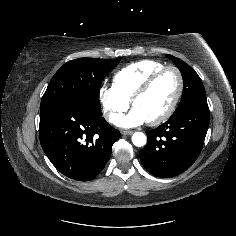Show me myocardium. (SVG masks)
<instances>
[{
    "label": "myocardium",
    "mask_w": 236,
    "mask_h": 236,
    "mask_svg": "<svg viewBox=\"0 0 236 236\" xmlns=\"http://www.w3.org/2000/svg\"><path fill=\"white\" fill-rule=\"evenodd\" d=\"M167 71H173L177 76V80H178L177 92H176L175 97L172 100L171 104L169 105V107L166 109V111L164 113H162L159 117H157L153 120L147 121L148 124L151 126H157V125L164 123L175 112V110L181 100V97L183 95V91H184V78H183V75H182L180 69L176 66H173V65H169V66H165V67L161 68L160 70L155 72L153 75H151L144 82V84L135 92V94L133 95V97L131 99V104L134 107L135 102L140 97L145 95L151 89V87L154 85V83Z\"/></svg>",
    "instance_id": "f54148a6"
}]
</instances>
